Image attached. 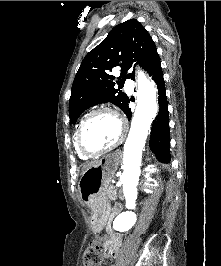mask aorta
<instances>
[{"label": "aorta", "instance_id": "obj_1", "mask_svg": "<svg viewBox=\"0 0 221 266\" xmlns=\"http://www.w3.org/2000/svg\"><path fill=\"white\" fill-rule=\"evenodd\" d=\"M137 82V106L124 144L123 173L120 177L128 209L135 207L142 150L149 127L158 111L157 89L154 82L148 80L142 71L137 73ZM135 220L136 215L133 212H122L115 219L114 228L120 231L127 230L133 226Z\"/></svg>", "mask_w": 221, "mask_h": 266}]
</instances>
